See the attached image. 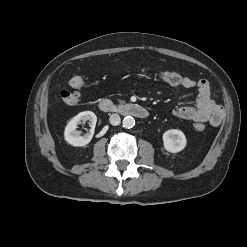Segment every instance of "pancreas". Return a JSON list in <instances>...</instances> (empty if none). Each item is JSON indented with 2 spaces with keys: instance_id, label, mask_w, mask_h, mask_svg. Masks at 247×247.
<instances>
[{
  "instance_id": "obj_1",
  "label": "pancreas",
  "mask_w": 247,
  "mask_h": 247,
  "mask_svg": "<svg viewBox=\"0 0 247 247\" xmlns=\"http://www.w3.org/2000/svg\"><path fill=\"white\" fill-rule=\"evenodd\" d=\"M118 101H119V103H123L124 102V100H122V99H119Z\"/></svg>"
}]
</instances>
